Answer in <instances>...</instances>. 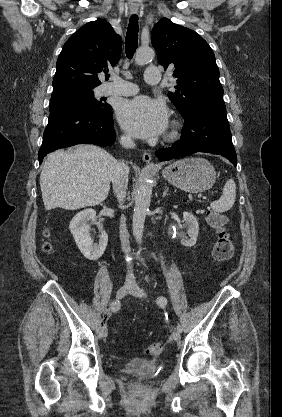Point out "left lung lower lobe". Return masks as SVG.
<instances>
[{
    "label": "left lung lower lobe",
    "mask_w": 282,
    "mask_h": 417,
    "mask_svg": "<svg viewBox=\"0 0 282 417\" xmlns=\"http://www.w3.org/2000/svg\"><path fill=\"white\" fill-rule=\"evenodd\" d=\"M183 117L185 127L182 129L181 140L170 148L156 151L160 161L205 152L222 155L234 166L237 165L223 100L207 98L198 100L188 108Z\"/></svg>",
    "instance_id": "left-lung-lower-lobe-1"
}]
</instances>
